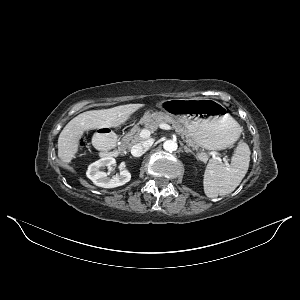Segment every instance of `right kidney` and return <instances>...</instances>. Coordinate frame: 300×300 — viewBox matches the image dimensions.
Listing matches in <instances>:
<instances>
[{"mask_svg": "<svg viewBox=\"0 0 300 300\" xmlns=\"http://www.w3.org/2000/svg\"><path fill=\"white\" fill-rule=\"evenodd\" d=\"M115 165L116 160L113 157H103L89 165L86 175L96 186L103 188H115L129 182L131 173L126 168L120 169V173L112 178L101 171L102 167Z\"/></svg>", "mask_w": 300, "mask_h": 300, "instance_id": "right-kidney-1", "label": "right kidney"}]
</instances>
